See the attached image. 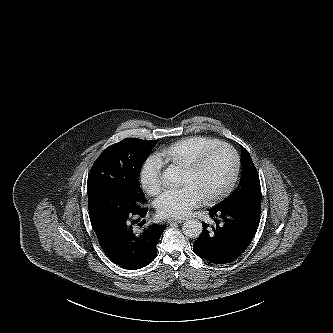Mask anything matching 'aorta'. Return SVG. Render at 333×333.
Returning <instances> with one entry per match:
<instances>
[{
  "instance_id": "aorta-1",
  "label": "aorta",
  "mask_w": 333,
  "mask_h": 333,
  "mask_svg": "<svg viewBox=\"0 0 333 333\" xmlns=\"http://www.w3.org/2000/svg\"><path fill=\"white\" fill-rule=\"evenodd\" d=\"M162 176L166 183H176L178 170L174 166H170L163 172ZM182 229L185 236L195 239L202 233V223L197 219H187L183 223Z\"/></svg>"
}]
</instances>
